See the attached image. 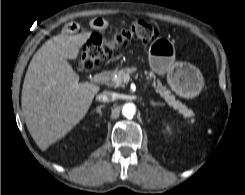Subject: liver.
Segmentation results:
<instances>
[{"label": "liver", "instance_id": "1", "mask_svg": "<svg viewBox=\"0 0 245 195\" xmlns=\"http://www.w3.org/2000/svg\"><path fill=\"white\" fill-rule=\"evenodd\" d=\"M57 35L34 54L25 75L21 106L29 133L41 150L63 138L86 115L100 88L79 83L67 59H76L90 38Z\"/></svg>", "mask_w": 245, "mask_h": 195}]
</instances>
